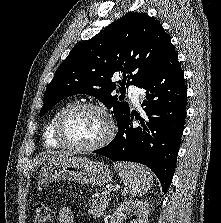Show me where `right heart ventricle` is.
Listing matches in <instances>:
<instances>
[{
	"mask_svg": "<svg viewBox=\"0 0 221 223\" xmlns=\"http://www.w3.org/2000/svg\"><path fill=\"white\" fill-rule=\"evenodd\" d=\"M64 108L65 107L58 108L44 127L43 140L46 147H60V144L55 140L53 136V132L57 118Z\"/></svg>",
	"mask_w": 221,
	"mask_h": 223,
	"instance_id": "1",
	"label": "right heart ventricle"
}]
</instances>
